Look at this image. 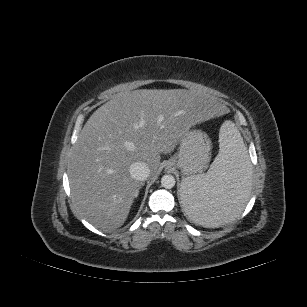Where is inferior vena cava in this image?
Returning a JSON list of instances; mask_svg holds the SVG:
<instances>
[{
    "instance_id": "602c4592",
    "label": "inferior vena cava",
    "mask_w": 307,
    "mask_h": 307,
    "mask_svg": "<svg viewBox=\"0 0 307 307\" xmlns=\"http://www.w3.org/2000/svg\"><path fill=\"white\" fill-rule=\"evenodd\" d=\"M129 172L133 179L144 181L148 178L150 174V169L146 163L134 162L130 165Z\"/></svg>"
}]
</instances>
